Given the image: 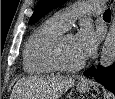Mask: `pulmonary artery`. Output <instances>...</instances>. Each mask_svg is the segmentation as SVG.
<instances>
[{
  "label": "pulmonary artery",
  "instance_id": "e3ab8cb5",
  "mask_svg": "<svg viewBox=\"0 0 115 99\" xmlns=\"http://www.w3.org/2000/svg\"><path fill=\"white\" fill-rule=\"evenodd\" d=\"M102 10V1H89L58 11L52 16L51 20L64 29H68L78 17L84 15H98Z\"/></svg>",
  "mask_w": 115,
  "mask_h": 99
}]
</instances>
